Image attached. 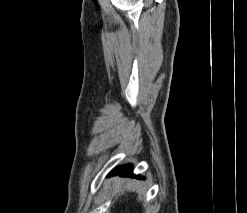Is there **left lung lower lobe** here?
Listing matches in <instances>:
<instances>
[{"instance_id": "0a47b994", "label": "left lung lower lobe", "mask_w": 247, "mask_h": 213, "mask_svg": "<svg viewBox=\"0 0 247 213\" xmlns=\"http://www.w3.org/2000/svg\"><path fill=\"white\" fill-rule=\"evenodd\" d=\"M116 174L120 176L132 175V167L130 165L117 167L114 171L111 172V175Z\"/></svg>"}]
</instances>
